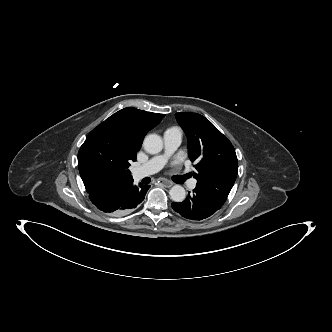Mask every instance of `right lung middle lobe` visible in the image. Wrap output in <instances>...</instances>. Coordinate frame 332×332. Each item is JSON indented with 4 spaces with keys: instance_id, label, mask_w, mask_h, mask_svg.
<instances>
[{
    "instance_id": "obj_1",
    "label": "right lung middle lobe",
    "mask_w": 332,
    "mask_h": 332,
    "mask_svg": "<svg viewBox=\"0 0 332 332\" xmlns=\"http://www.w3.org/2000/svg\"><path fill=\"white\" fill-rule=\"evenodd\" d=\"M135 160L129 130L119 118L109 117L98 125L78 152L81 177L110 184L131 178L128 167Z\"/></svg>"
}]
</instances>
